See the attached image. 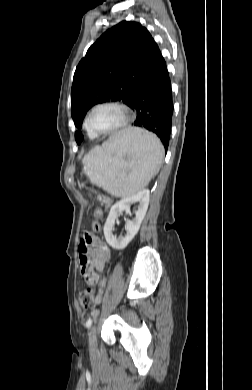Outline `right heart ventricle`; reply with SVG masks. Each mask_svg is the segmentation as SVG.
Masks as SVG:
<instances>
[{
  "instance_id": "right-heart-ventricle-1",
  "label": "right heart ventricle",
  "mask_w": 252,
  "mask_h": 390,
  "mask_svg": "<svg viewBox=\"0 0 252 390\" xmlns=\"http://www.w3.org/2000/svg\"><path fill=\"white\" fill-rule=\"evenodd\" d=\"M87 131H88V135L90 138H95L97 136L94 133L90 132L88 129H87Z\"/></svg>"
}]
</instances>
